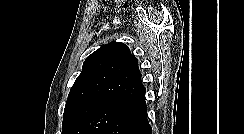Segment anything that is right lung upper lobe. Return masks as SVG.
Returning a JSON list of instances; mask_svg holds the SVG:
<instances>
[{"mask_svg":"<svg viewBox=\"0 0 244 134\" xmlns=\"http://www.w3.org/2000/svg\"><path fill=\"white\" fill-rule=\"evenodd\" d=\"M145 95L137 58L120 42L106 44L84 62L70 89L63 117L76 105L94 99L122 98L134 101Z\"/></svg>","mask_w":244,"mask_h":134,"instance_id":"1","label":"right lung upper lobe"}]
</instances>
